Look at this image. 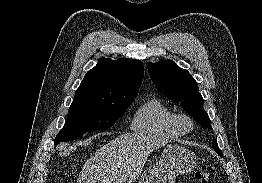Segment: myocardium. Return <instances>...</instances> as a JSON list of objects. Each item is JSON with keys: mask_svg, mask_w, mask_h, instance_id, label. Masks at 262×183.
I'll use <instances>...</instances> for the list:
<instances>
[{"mask_svg": "<svg viewBox=\"0 0 262 183\" xmlns=\"http://www.w3.org/2000/svg\"><path fill=\"white\" fill-rule=\"evenodd\" d=\"M176 123L183 132H190L195 126L193 119L186 114L177 115Z\"/></svg>", "mask_w": 262, "mask_h": 183, "instance_id": "1", "label": "myocardium"}]
</instances>
